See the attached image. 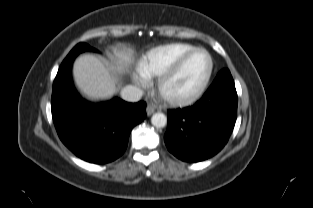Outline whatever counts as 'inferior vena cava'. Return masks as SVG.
Returning <instances> with one entry per match:
<instances>
[{"mask_svg":"<svg viewBox=\"0 0 313 208\" xmlns=\"http://www.w3.org/2000/svg\"><path fill=\"white\" fill-rule=\"evenodd\" d=\"M143 92L136 86L128 85L121 91V96L124 100L130 102H137L141 99Z\"/></svg>","mask_w":313,"mask_h":208,"instance_id":"inferior-vena-cava-1","label":"inferior vena cava"}]
</instances>
